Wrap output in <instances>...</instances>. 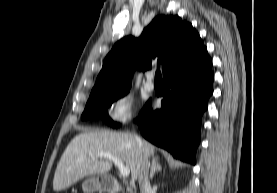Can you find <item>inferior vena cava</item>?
I'll list each match as a JSON object with an SVG mask.
<instances>
[{
    "label": "inferior vena cava",
    "instance_id": "1",
    "mask_svg": "<svg viewBox=\"0 0 277 193\" xmlns=\"http://www.w3.org/2000/svg\"><path fill=\"white\" fill-rule=\"evenodd\" d=\"M135 139L137 142H141V139L137 136L134 135ZM139 181V187H140V192L141 193H152L151 185L148 179V167L147 164L143 165L142 171L138 177Z\"/></svg>",
    "mask_w": 277,
    "mask_h": 193
}]
</instances>
